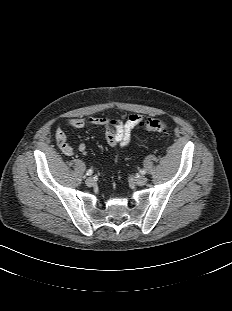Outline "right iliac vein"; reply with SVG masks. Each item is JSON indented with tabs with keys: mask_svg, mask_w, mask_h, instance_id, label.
Wrapping results in <instances>:
<instances>
[{
	"mask_svg": "<svg viewBox=\"0 0 232 311\" xmlns=\"http://www.w3.org/2000/svg\"><path fill=\"white\" fill-rule=\"evenodd\" d=\"M85 183H86L87 186H92V185H94L95 180H94V178H92V177H88V178L85 180Z\"/></svg>",
	"mask_w": 232,
	"mask_h": 311,
	"instance_id": "63e3f726",
	"label": "right iliac vein"
}]
</instances>
